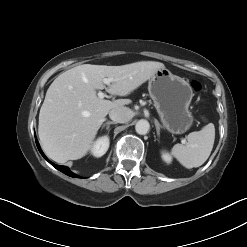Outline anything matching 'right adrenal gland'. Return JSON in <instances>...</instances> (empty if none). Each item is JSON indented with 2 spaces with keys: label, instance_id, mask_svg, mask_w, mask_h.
Segmentation results:
<instances>
[{
  "label": "right adrenal gland",
  "instance_id": "right-adrenal-gland-1",
  "mask_svg": "<svg viewBox=\"0 0 247 247\" xmlns=\"http://www.w3.org/2000/svg\"><path fill=\"white\" fill-rule=\"evenodd\" d=\"M114 124H116V122L107 121L106 123L103 124L102 129L106 127V130L109 131L110 125H114Z\"/></svg>",
  "mask_w": 247,
  "mask_h": 247
}]
</instances>
